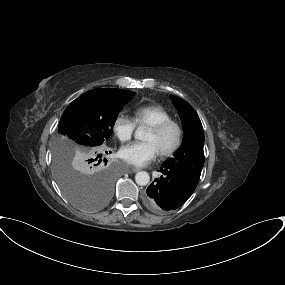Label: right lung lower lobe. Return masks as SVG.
I'll list each match as a JSON object with an SVG mask.
<instances>
[{
	"label": "right lung lower lobe",
	"mask_w": 285,
	"mask_h": 285,
	"mask_svg": "<svg viewBox=\"0 0 285 285\" xmlns=\"http://www.w3.org/2000/svg\"><path fill=\"white\" fill-rule=\"evenodd\" d=\"M96 159H98V158H96ZM101 161H102V159H98V161L97 162H95L94 164H92V165H90L89 167H88V170L90 171V172H100L105 166H106V163L105 164H100L101 163ZM107 161V160H106Z\"/></svg>",
	"instance_id": "1"
}]
</instances>
